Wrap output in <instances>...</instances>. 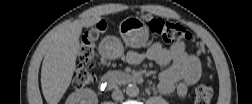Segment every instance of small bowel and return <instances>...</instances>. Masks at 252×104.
Wrapping results in <instances>:
<instances>
[{"mask_svg": "<svg viewBox=\"0 0 252 104\" xmlns=\"http://www.w3.org/2000/svg\"><path fill=\"white\" fill-rule=\"evenodd\" d=\"M145 60L166 67L160 73L158 83L159 92L165 95L177 93L184 97L202 76L198 58L186 50L183 42L169 46L155 43L144 52L131 51L127 54V62L130 64L137 65Z\"/></svg>", "mask_w": 252, "mask_h": 104, "instance_id": "small-bowel-1", "label": "small bowel"}]
</instances>
